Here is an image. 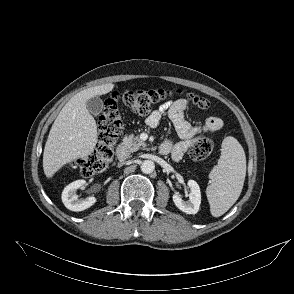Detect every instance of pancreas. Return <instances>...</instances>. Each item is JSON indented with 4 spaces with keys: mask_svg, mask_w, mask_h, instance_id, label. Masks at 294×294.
<instances>
[{
    "mask_svg": "<svg viewBox=\"0 0 294 294\" xmlns=\"http://www.w3.org/2000/svg\"><path fill=\"white\" fill-rule=\"evenodd\" d=\"M147 144L142 141L138 136H134L133 134L127 136L124 139V147L128 152H135L139 149H145Z\"/></svg>",
    "mask_w": 294,
    "mask_h": 294,
    "instance_id": "obj_1",
    "label": "pancreas"
}]
</instances>
